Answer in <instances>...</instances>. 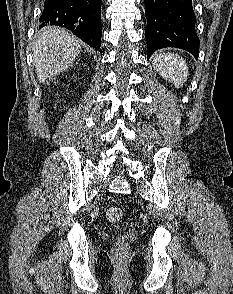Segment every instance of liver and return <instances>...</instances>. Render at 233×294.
<instances>
[{
    "instance_id": "liver-1",
    "label": "liver",
    "mask_w": 233,
    "mask_h": 294,
    "mask_svg": "<svg viewBox=\"0 0 233 294\" xmlns=\"http://www.w3.org/2000/svg\"><path fill=\"white\" fill-rule=\"evenodd\" d=\"M81 43L63 29L47 27L34 41L33 64L40 83L68 69L80 54Z\"/></svg>"
}]
</instances>
